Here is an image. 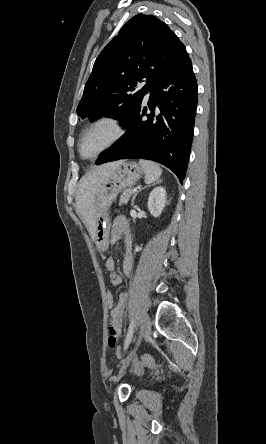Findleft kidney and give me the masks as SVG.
<instances>
[{"instance_id": "1", "label": "left kidney", "mask_w": 266, "mask_h": 444, "mask_svg": "<svg viewBox=\"0 0 266 444\" xmlns=\"http://www.w3.org/2000/svg\"><path fill=\"white\" fill-rule=\"evenodd\" d=\"M166 204V191L162 186L154 188L148 198V209L154 217H158Z\"/></svg>"}]
</instances>
